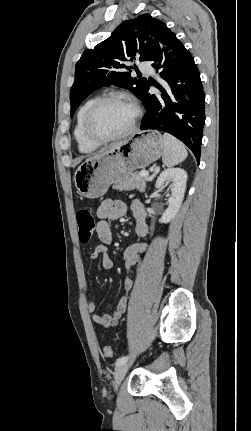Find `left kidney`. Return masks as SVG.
<instances>
[{"mask_svg":"<svg viewBox=\"0 0 251 431\" xmlns=\"http://www.w3.org/2000/svg\"><path fill=\"white\" fill-rule=\"evenodd\" d=\"M166 182H171V196L168 199V207L159 219L160 223H169L173 220L184 199L186 189L187 173L181 168H168L162 171L157 178L155 187L161 188Z\"/></svg>","mask_w":251,"mask_h":431,"instance_id":"1","label":"left kidney"}]
</instances>
